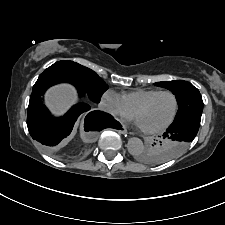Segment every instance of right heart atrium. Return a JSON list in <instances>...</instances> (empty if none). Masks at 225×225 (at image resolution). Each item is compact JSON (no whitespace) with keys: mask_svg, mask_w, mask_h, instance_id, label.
<instances>
[{"mask_svg":"<svg viewBox=\"0 0 225 225\" xmlns=\"http://www.w3.org/2000/svg\"><path fill=\"white\" fill-rule=\"evenodd\" d=\"M102 102L104 109L114 116L127 118L133 114V112L125 105L122 97L113 90L104 92Z\"/></svg>","mask_w":225,"mask_h":225,"instance_id":"obj_1","label":"right heart atrium"}]
</instances>
